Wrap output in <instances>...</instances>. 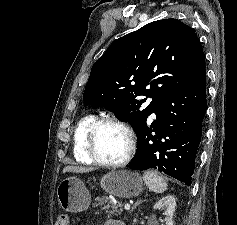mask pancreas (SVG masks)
<instances>
[{"mask_svg":"<svg viewBox=\"0 0 237 225\" xmlns=\"http://www.w3.org/2000/svg\"><path fill=\"white\" fill-rule=\"evenodd\" d=\"M94 207L99 206L102 210H105L108 214L121 215L123 212V203H113L112 200L107 196L96 198V202L93 204Z\"/></svg>","mask_w":237,"mask_h":225,"instance_id":"obj_1","label":"pancreas"}]
</instances>
